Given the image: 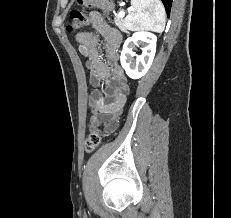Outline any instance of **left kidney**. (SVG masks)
Returning <instances> with one entry per match:
<instances>
[{"instance_id": "obj_1", "label": "left kidney", "mask_w": 231, "mask_h": 218, "mask_svg": "<svg viewBox=\"0 0 231 218\" xmlns=\"http://www.w3.org/2000/svg\"><path fill=\"white\" fill-rule=\"evenodd\" d=\"M156 41V35L147 31L135 32L125 41L120 61L123 69L130 78L138 79L146 74L155 56ZM139 44L143 46L141 48V55H137L134 52L136 46Z\"/></svg>"}]
</instances>
